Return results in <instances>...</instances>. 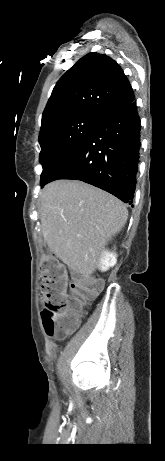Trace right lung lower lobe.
I'll return each instance as SVG.
<instances>
[{
	"mask_svg": "<svg viewBox=\"0 0 165 461\" xmlns=\"http://www.w3.org/2000/svg\"><path fill=\"white\" fill-rule=\"evenodd\" d=\"M140 130L134 100L102 118L46 183L57 179L81 180L131 204L140 157Z\"/></svg>",
	"mask_w": 165,
	"mask_h": 461,
	"instance_id": "right-lung-lower-lobe-1",
	"label": "right lung lower lobe"
}]
</instances>
